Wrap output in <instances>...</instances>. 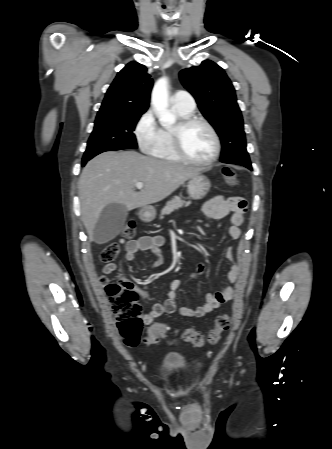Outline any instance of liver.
Listing matches in <instances>:
<instances>
[{"label":"liver","mask_w":332,"mask_h":449,"mask_svg":"<svg viewBox=\"0 0 332 449\" xmlns=\"http://www.w3.org/2000/svg\"><path fill=\"white\" fill-rule=\"evenodd\" d=\"M201 169L144 156L136 151L105 152L84 167L78 182L83 223L90 241L107 205L127 211L162 201ZM144 187L135 191L136 183Z\"/></svg>","instance_id":"liver-1"}]
</instances>
